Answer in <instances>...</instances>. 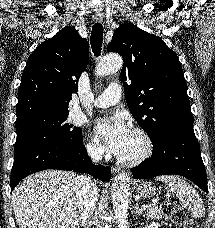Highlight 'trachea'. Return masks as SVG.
Returning <instances> with one entry per match:
<instances>
[{"label":"trachea","instance_id":"1","mask_svg":"<svg viewBox=\"0 0 215 228\" xmlns=\"http://www.w3.org/2000/svg\"><path fill=\"white\" fill-rule=\"evenodd\" d=\"M103 42V26L96 23L91 32V47L95 56H100Z\"/></svg>","mask_w":215,"mask_h":228}]
</instances>
